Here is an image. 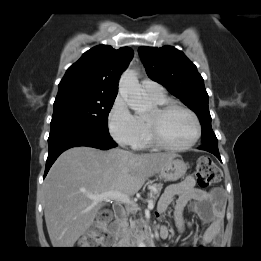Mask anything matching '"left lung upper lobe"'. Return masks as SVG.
I'll return each mask as SVG.
<instances>
[{
  "label": "left lung upper lobe",
  "mask_w": 261,
  "mask_h": 261,
  "mask_svg": "<svg viewBox=\"0 0 261 261\" xmlns=\"http://www.w3.org/2000/svg\"><path fill=\"white\" fill-rule=\"evenodd\" d=\"M138 53L149 78L165 86L196 113L202 126V144L218 143L211 127L208 94L196 66L171 46L140 47Z\"/></svg>",
  "instance_id": "1"
}]
</instances>
